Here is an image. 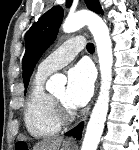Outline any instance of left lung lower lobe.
<instances>
[{"label": "left lung lower lobe", "instance_id": "1", "mask_svg": "<svg viewBox=\"0 0 139 150\" xmlns=\"http://www.w3.org/2000/svg\"><path fill=\"white\" fill-rule=\"evenodd\" d=\"M82 129H83V123L79 124L77 127H75L74 129L70 130L65 135H67V136H75L77 139H80L81 138Z\"/></svg>", "mask_w": 139, "mask_h": 150}]
</instances>
